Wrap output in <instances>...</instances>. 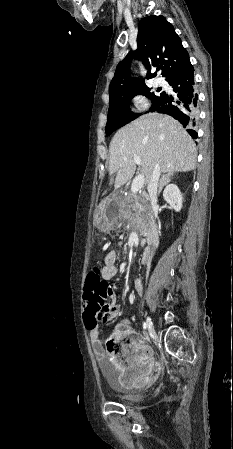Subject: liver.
<instances>
[{"instance_id":"liver-1","label":"liver","mask_w":233,"mask_h":449,"mask_svg":"<svg viewBox=\"0 0 233 449\" xmlns=\"http://www.w3.org/2000/svg\"><path fill=\"white\" fill-rule=\"evenodd\" d=\"M134 156L141 158V174L149 182L159 164L161 172H188L195 169V143L182 125L170 116L148 113L119 129L109 146V173H116L115 189L134 175Z\"/></svg>"}]
</instances>
